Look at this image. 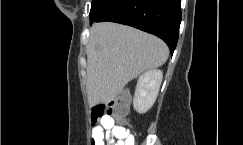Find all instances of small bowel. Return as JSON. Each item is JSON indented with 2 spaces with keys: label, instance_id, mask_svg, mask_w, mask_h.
Returning <instances> with one entry per match:
<instances>
[{
  "label": "small bowel",
  "instance_id": "small-bowel-1",
  "mask_svg": "<svg viewBox=\"0 0 243 145\" xmlns=\"http://www.w3.org/2000/svg\"><path fill=\"white\" fill-rule=\"evenodd\" d=\"M92 145H135V138L112 117H103L92 130Z\"/></svg>",
  "mask_w": 243,
  "mask_h": 145
}]
</instances>
